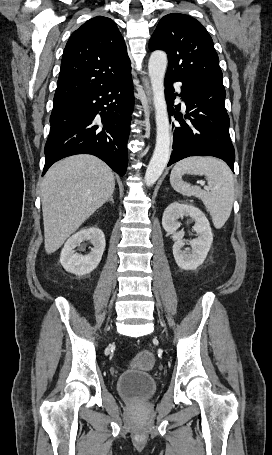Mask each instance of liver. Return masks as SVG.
I'll use <instances>...</instances> for the list:
<instances>
[{"instance_id": "1", "label": "liver", "mask_w": 272, "mask_h": 455, "mask_svg": "<svg viewBox=\"0 0 272 455\" xmlns=\"http://www.w3.org/2000/svg\"><path fill=\"white\" fill-rule=\"evenodd\" d=\"M111 169L92 155H75L55 163L41 185L44 247L58 250L113 194Z\"/></svg>"}]
</instances>
